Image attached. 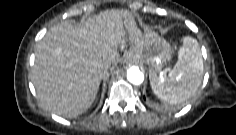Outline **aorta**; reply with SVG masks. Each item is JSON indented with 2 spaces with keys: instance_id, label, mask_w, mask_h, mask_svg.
Here are the masks:
<instances>
[{
  "instance_id": "762f6f07",
  "label": "aorta",
  "mask_w": 236,
  "mask_h": 135,
  "mask_svg": "<svg viewBox=\"0 0 236 135\" xmlns=\"http://www.w3.org/2000/svg\"><path fill=\"white\" fill-rule=\"evenodd\" d=\"M127 79L134 85H140L144 81V74L137 66H132L127 70Z\"/></svg>"
}]
</instances>
